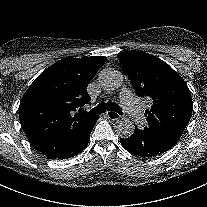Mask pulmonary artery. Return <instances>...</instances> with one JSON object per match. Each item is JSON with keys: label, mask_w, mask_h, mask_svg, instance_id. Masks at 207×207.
I'll return each instance as SVG.
<instances>
[{"label": "pulmonary artery", "mask_w": 207, "mask_h": 207, "mask_svg": "<svg viewBox=\"0 0 207 207\" xmlns=\"http://www.w3.org/2000/svg\"><path fill=\"white\" fill-rule=\"evenodd\" d=\"M121 105L128 113L129 118L135 124H140L144 120V115L133 91L129 88H124L120 92Z\"/></svg>", "instance_id": "obj_1"}]
</instances>
